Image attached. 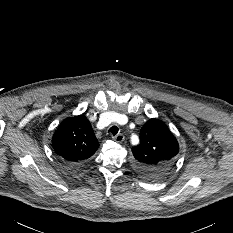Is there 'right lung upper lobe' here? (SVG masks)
I'll list each match as a JSON object with an SVG mask.
<instances>
[{"label":"right lung upper lobe","instance_id":"1","mask_svg":"<svg viewBox=\"0 0 233 233\" xmlns=\"http://www.w3.org/2000/svg\"><path fill=\"white\" fill-rule=\"evenodd\" d=\"M52 145L55 153L69 163L91 157L99 147L91 124L83 115L63 120L52 138Z\"/></svg>","mask_w":233,"mask_h":233}]
</instances>
